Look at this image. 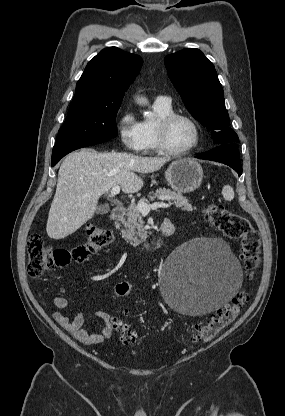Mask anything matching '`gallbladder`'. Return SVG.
I'll list each match as a JSON object with an SVG mask.
<instances>
[{
  "instance_id": "bac80fb5",
  "label": "gallbladder",
  "mask_w": 285,
  "mask_h": 416,
  "mask_svg": "<svg viewBox=\"0 0 285 416\" xmlns=\"http://www.w3.org/2000/svg\"><path fill=\"white\" fill-rule=\"evenodd\" d=\"M108 212H110V206L101 204V206H97L95 214H108Z\"/></svg>"
}]
</instances>
